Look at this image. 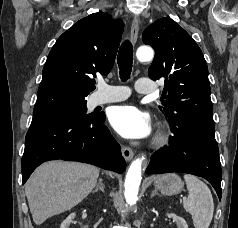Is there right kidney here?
<instances>
[{"mask_svg":"<svg viewBox=\"0 0 238 228\" xmlns=\"http://www.w3.org/2000/svg\"><path fill=\"white\" fill-rule=\"evenodd\" d=\"M75 218V213H71L62 223L60 228H69L70 223L73 221Z\"/></svg>","mask_w":238,"mask_h":228,"instance_id":"ca27d5eb","label":"right kidney"}]
</instances>
